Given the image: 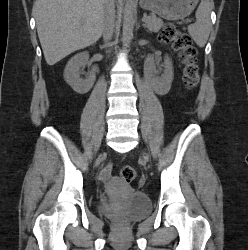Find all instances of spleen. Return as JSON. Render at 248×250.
Segmentation results:
<instances>
[{
	"instance_id": "obj_1",
	"label": "spleen",
	"mask_w": 248,
	"mask_h": 250,
	"mask_svg": "<svg viewBox=\"0 0 248 250\" xmlns=\"http://www.w3.org/2000/svg\"><path fill=\"white\" fill-rule=\"evenodd\" d=\"M211 4L209 0H201L195 13L196 22L188 26L191 38L199 47H204L207 43L211 30Z\"/></svg>"
}]
</instances>
